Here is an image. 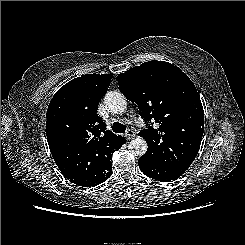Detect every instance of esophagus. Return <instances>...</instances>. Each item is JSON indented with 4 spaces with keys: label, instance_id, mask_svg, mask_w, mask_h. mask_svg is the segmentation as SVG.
<instances>
[{
    "label": "esophagus",
    "instance_id": "34e87169",
    "mask_svg": "<svg viewBox=\"0 0 245 245\" xmlns=\"http://www.w3.org/2000/svg\"><path fill=\"white\" fill-rule=\"evenodd\" d=\"M124 136H125V138H126L127 140H129V139H132L133 137H135V133H134L133 130L128 129V130L126 131V133H125Z\"/></svg>",
    "mask_w": 245,
    "mask_h": 245
}]
</instances>
